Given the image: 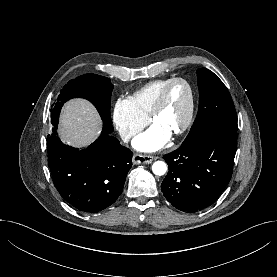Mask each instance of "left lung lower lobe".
<instances>
[{"instance_id": "0a47b994", "label": "left lung lower lobe", "mask_w": 277, "mask_h": 277, "mask_svg": "<svg viewBox=\"0 0 277 277\" xmlns=\"http://www.w3.org/2000/svg\"><path fill=\"white\" fill-rule=\"evenodd\" d=\"M237 132H205L164 155L169 172L161 184L165 198L177 209L192 213L212 204L232 176Z\"/></svg>"}]
</instances>
